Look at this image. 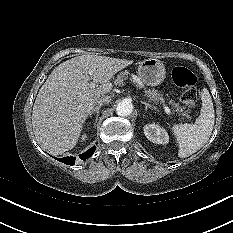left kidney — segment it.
I'll use <instances>...</instances> for the list:
<instances>
[{"label": "left kidney", "mask_w": 233, "mask_h": 233, "mask_svg": "<svg viewBox=\"0 0 233 233\" xmlns=\"http://www.w3.org/2000/svg\"><path fill=\"white\" fill-rule=\"evenodd\" d=\"M145 136L153 143L167 144L169 142V135L167 131L158 124H147L143 128Z\"/></svg>", "instance_id": "5707ae66"}]
</instances>
